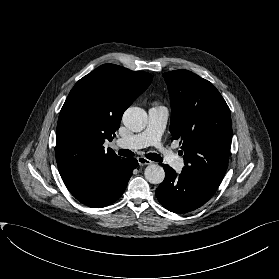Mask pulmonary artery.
<instances>
[{
	"mask_svg": "<svg viewBox=\"0 0 279 279\" xmlns=\"http://www.w3.org/2000/svg\"><path fill=\"white\" fill-rule=\"evenodd\" d=\"M168 118V111L163 106H154L148 111V124L144 131L127 138L117 140V144L129 149H141L148 146L157 147L165 161L180 171L184 167L183 160L173 152L162 148L161 137Z\"/></svg>",
	"mask_w": 279,
	"mask_h": 279,
	"instance_id": "obj_1",
	"label": "pulmonary artery"
}]
</instances>
